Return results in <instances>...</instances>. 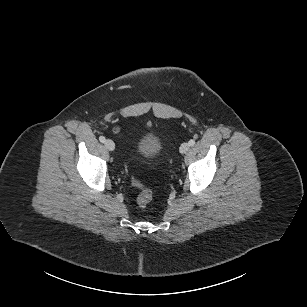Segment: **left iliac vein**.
<instances>
[{
  "label": "left iliac vein",
  "mask_w": 307,
  "mask_h": 307,
  "mask_svg": "<svg viewBox=\"0 0 307 307\" xmlns=\"http://www.w3.org/2000/svg\"><path fill=\"white\" fill-rule=\"evenodd\" d=\"M189 148H190L189 143H187V142L182 143L181 146H180V153H182V154L187 153Z\"/></svg>",
  "instance_id": "left-iliac-vein-1"
}]
</instances>
